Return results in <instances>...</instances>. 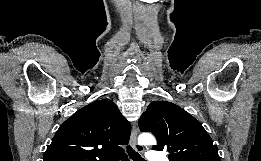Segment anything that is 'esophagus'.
I'll return each mask as SVG.
<instances>
[{"label": "esophagus", "mask_w": 261, "mask_h": 161, "mask_svg": "<svg viewBox=\"0 0 261 161\" xmlns=\"http://www.w3.org/2000/svg\"><path fill=\"white\" fill-rule=\"evenodd\" d=\"M137 135H138L137 126L134 124L130 136V143L135 150L142 153L144 151V148L143 146L137 143Z\"/></svg>", "instance_id": "esophagus-1"}]
</instances>
